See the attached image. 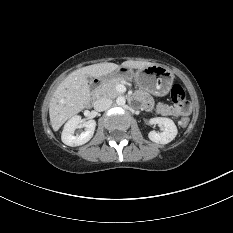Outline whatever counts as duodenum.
<instances>
[{
  "label": "duodenum",
  "mask_w": 233,
  "mask_h": 233,
  "mask_svg": "<svg viewBox=\"0 0 233 233\" xmlns=\"http://www.w3.org/2000/svg\"><path fill=\"white\" fill-rule=\"evenodd\" d=\"M105 80L104 79H96L92 83L93 89H97Z\"/></svg>",
  "instance_id": "duodenum-1"
}]
</instances>
